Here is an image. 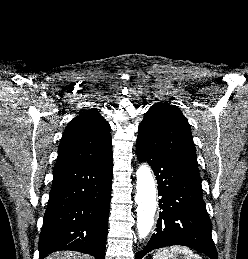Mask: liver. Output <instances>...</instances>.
Returning <instances> with one entry per match:
<instances>
[{"label":"liver","mask_w":248,"mask_h":259,"mask_svg":"<svg viewBox=\"0 0 248 259\" xmlns=\"http://www.w3.org/2000/svg\"><path fill=\"white\" fill-rule=\"evenodd\" d=\"M45 259H92L91 256L71 251L54 252Z\"/></svg>","instance_id":"liver-1"}]
</instances>
